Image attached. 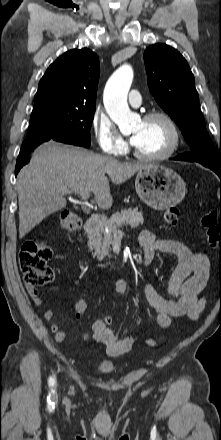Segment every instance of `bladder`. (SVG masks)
Masks as SVG:
<instances>
[{"instance_id": "31cf9c89", "label": "bladder", "mask_w": 221, "mask_h": 440, "mask_svg": "<svg viewBox=\"0 0 221 440\" xmlns=\"http://www.w3.org/2000/svg\"><path fill=\"white\" fill-rule=\"evenodd\" d=\"M97 370L104 374L111 373L115 370V364L111 361H101L97 364Z\"/></svg>"}]
</instances>
